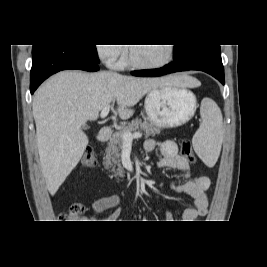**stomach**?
<instances>
[{"label": "stomach", "mask_w": 267, "mask_h": 267, "mask_svg": "<svg viewBox=\"0 0 267 267\" xmlns=\"http://www.w3.org/2000/svg\"><path fill=\"white\" fill-rule=\"evenodd\" d=\"M196 108V96L187 87H158L151 90L145 98L147 120L159 128L185 124L193 117Z\"/></svg>", "instance_id": "1"}]
</instances>
